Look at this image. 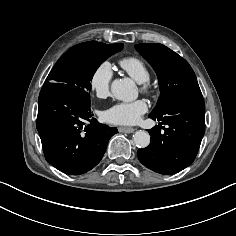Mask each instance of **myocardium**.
Returning a JSON list of instances; mask_svg holds the SVG:
<instances>
[{"instance_id":"f54148a6","label":"myocardium","mask_w":236,"mask_h":236,"mask_svg":"<svg viewBox=\"0 0 236 236\" xmlns=\"http://www.w3.org/2000/svg\"><path fill=\"white\" fill-rule=\"evenodd\" d=\"M141 90L145 94H150L152 92V87L149 83L143 82L142 85H141Z\"/></svg>"}]
</instances>
